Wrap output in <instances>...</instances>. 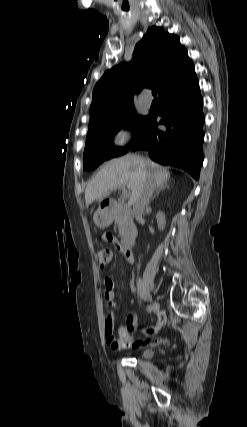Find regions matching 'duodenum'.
<instances>
[{
    "label": "duodenum",
    "mask_w": 247,
    "mask_h": 427,
    "mask_svg": "<svg viewBox=\"0 0 247 427\" xmlns=\"http://www.w3.org/2000/svg\"><path fill=\"white\" fill-rule=\"evenodd\" d=\"M103 211L108 214L112 215L117 212L122 213H130V208L122 203H119L117 201H106L103 203L102 206ZM138 231L135 226H130L125 235L122 238V246L126 249L131 248L134 243L135 239L137 237Z\"/></svg>",
    "instance_id": "410a0bca"
}]
</instances>
